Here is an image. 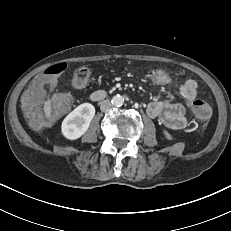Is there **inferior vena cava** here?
<instances>
[{
  "label": "inferior vena cava",
  "mask_w": 231,
  "mask_h": 231,
  "mask_svg": "<svg viewBox=\"0 0 231 231\" xmlns=\"http://www.w3.org/2000/svg\"><path fill=\"white\" fill-rule=\"evenodd\" d=\"M112 103L109 100H103L100 102V110L102 112H107L112 108Z\"/></svg>",
  "instance_id": "obj_1"
}]
</instances>
